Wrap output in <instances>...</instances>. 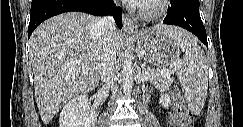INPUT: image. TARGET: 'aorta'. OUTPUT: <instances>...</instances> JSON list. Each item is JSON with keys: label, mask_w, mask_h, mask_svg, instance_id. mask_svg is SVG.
Listing matches in <instances>:
<instances>
[{"label": "aorta", "mask_w": 243, "mask_h": 127, "mask_svg": "<svg viewBox=\"0 0 243 127\" xmlns=\"http://www.w3.org/2000/svg\"><path fill=\"white\" fill-rule=\"evenodd\" d=\"M133 65L129 57H126L123 64L122 74V86L125 94H129L133 88Z\"/></svg>", "instance_id": "obj_1"}]
</instances>
